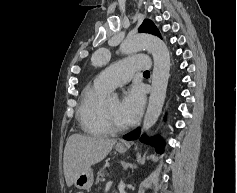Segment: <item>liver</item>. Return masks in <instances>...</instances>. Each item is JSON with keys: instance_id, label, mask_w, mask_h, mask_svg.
Returning <instances> with one entry per match:
<instances>
[{"instance_id": "6515ba94", "label": "liver", "mask_w": 237, "mask_h": 193, "mask_svg": "<svg viewBox=\"0 0 237 193\" xmlns=\"http://www.w3.org/2000/svg\"><path fill=\"white\" fill-rule=\"evenodd\" d=\"M115 139L81 134L71 135L64 149L63 169L66 184L71 187L86 168L102 161L115 145Z\"/></svg>"}]
</instances>
